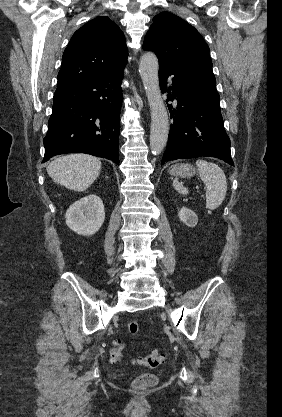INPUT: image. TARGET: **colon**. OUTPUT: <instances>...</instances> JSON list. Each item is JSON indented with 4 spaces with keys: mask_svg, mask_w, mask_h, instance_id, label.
I'll use <instances>...</instances> for the list:
<instances>
[{
    "mask_svg": "<svg viewBox=\"0 0 282 417\" xmlns=\"http://www.w3.org/2000/svg\"><path fill=\"white\" fill-rule=\"evenodd\" d=\"M128 330L131 335L135 336L140 331V325L137 321L128 323ZM125 351V344L122 341H115L110 350V358L113 363H120L123 360ZM140 364L145 368H157L162 362V356L159 354V348L153 347L152 352L147 353L139 360ZM157 376L153 373H145L134 379L135 391L137 393H144L146 388L152 387L156 384Z\"/></svg>",
    "mask_w": 282,
    "mask_h": 417,
    "instance_id": "colon-1",
    "label": "colon"
}]
</instances>
